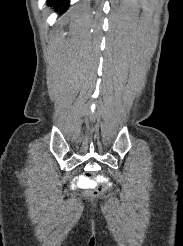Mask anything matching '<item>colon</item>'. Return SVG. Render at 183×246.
Listing matches in <instances>:
<instances>
[{"label": "colon", "instance_id": "5ec220e1", "mask_svg": "<svg viewBox=\"0 0 183 246\" xmlns=\"http://www.w3.org/2000/svg\"><path fill=\"white\" fill-rule=\"evenodd\" d=\"M85 174H88V179H93V175L96 174L95 170H86ZM108 182H94V180H90V184L87 186L88 191L86 192V196L88 198H93L99 196L103 190L107 187Z\"/></svg>", "mask_w": 183, "mask_h": 246}]
</instances>
